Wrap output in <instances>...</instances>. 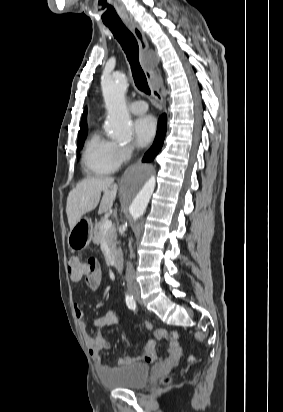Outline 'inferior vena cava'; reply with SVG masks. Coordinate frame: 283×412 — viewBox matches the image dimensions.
<instances>
[{
	"mask_svg": "<svg viewBox=\"0 0 283 412\" xmlns=\"http://www.w3.org/2000/svg\"><path fill=\"white\" fill-rule=\"evenodd\" d=\"M126 281H127V286H136L134 268L131 262H127Z\"/></svg>",
	"mask_w": 283,
	"mask_h": 412,
	"instance_id": "inferior-vena-cava-1",
	"label": "inferior vena cava"
}]
</instances>
